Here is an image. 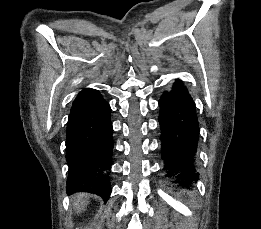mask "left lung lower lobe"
<instances>
[{
    "instance_id": "obj_1",
    "label": "left lung lower lobe",
    "mask_w": 261,
    "mask_h": 229,
    "mask_svg": "<svg viewBox=\"0 0 261 229\" xmlns=\"http://www.w3.org/2000/svg\"><path fill=\"white\" fill-rule=\"evenodd\" d=\"M159 105L163 171L170 177L185 180V184L197 181L199 123L195 104L182 81L176 80L173 90L163 93Z\"/></svg>"
}]
</instances>
